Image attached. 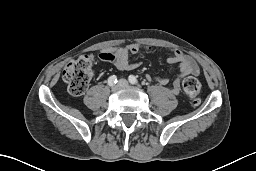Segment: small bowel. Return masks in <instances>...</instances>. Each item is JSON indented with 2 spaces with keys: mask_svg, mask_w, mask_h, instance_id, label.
I'll use <instances>...</instances> for the list:
<instances>
[{
  "mask_svg": "<svg viewBox=\"0 0 256 171\" xmlns=\"http://www.w3.org/2000/svg\"><path fill=\"white\" fill-rule=\"evenodd\" d=\"M142 50H151V47L145 46L141 43H133L123 47L107 48L102 54L101 58L107 62L112 63L120 71H132L139 65V61H130L129 54H137ZM172 54L167 58V62L171 65H175L178 68V74L174 78L171 92L173 94H179L181 91L182 79L189 74L199 75L200 70L196 62L192 57L184 52L173 49ZM154 79L160 85H166L169 83V78L164 75L149 76Z\"/></svg>",
  "mask_w": 256,
  "mask_h": 171,
  "instance_id": "1",
  "label": "small bowel"
}]
</instances>
